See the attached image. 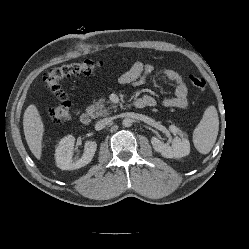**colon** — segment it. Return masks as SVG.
Wrapping results in <instances>:
<instances>
[{
	"label": "colon",
	"mask_w": 249,
	"mask_h": 249,
	"mask_svg": "<svg viewBox=\"0 0 249 249\" xmlns=\"http://www.w3.org/2000/svg\"><path fill=\"white\" fill-rule=\"evenodd\" d=\"M104 67L103 62L85 60L82 62L68 63L50 69L44 76L45 87L59 101L56 106L50 107L48 114L53 122L60 123L71 118V102L62 89L60 82L68 77L77 75H92ZM191 84L199 90H205L206 81L202 77L189 75Z\"/></svg>",
	"instance_id": "obj_1"
}]
</instances>
